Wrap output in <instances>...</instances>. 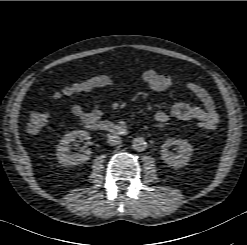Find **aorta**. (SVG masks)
I'll return each mask as SVG.
<instances>
[{
	"mask_svg": "<svg viewBox=\"0 0 247 245\" xmlns=\"http://www.w3.org/2000/svg\"><path fill=\"white\" fill-rule=\"evenodd\" d=\"M146 145L147 143L143 137H136L132 140V148L138 152L144 151Z\"/></svg>",
	"mask_w": 247,
	"mask_h": 245,
	"instance_id": "1",
	"label": "aorta"
}]
</instances>
